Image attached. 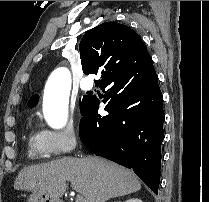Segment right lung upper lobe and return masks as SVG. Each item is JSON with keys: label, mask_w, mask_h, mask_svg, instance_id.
Listing matches in <instances>:
<instances>
[{"label": "right lung upper lobe", "mask_w": 209, "mask_h": 202, "mask_svg": "<svg viewBox=\"0 0 209 202\" xmlns=\"http://www.w3.org/2000/svg\"><path fill=\"white\" fill-rule=\"evenodd\" d=\"M79 51L84 74L100 75V86L109 81L113 87L122 86L130 76L144 74V57L151 60L140 36L117 22H105L88 30ZM38 100V95L32 96L28 106L35 107Z\"/></svg>", "instance_id": "cb5924a9"}]
</instances>
